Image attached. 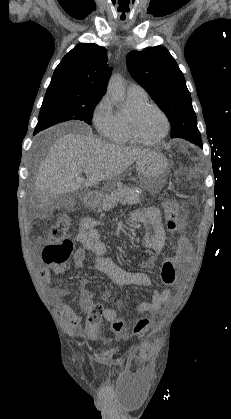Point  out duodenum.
I'll return each instance as SVG.
<instances>
[{
  "instance_id": "1",
  "label": "duodenum",
  "mask_w": 231,
  "mask_h": 419,
  "mask_svg": "<svg viewBox=\"0 0 231 419\" xmlns=\"http://www.w3.org/2000/svg\"><path fill=\"white\" fill-rule=\"evenodd\" d=\"M98 195L96 193H87L84 199L85 206L88 208L94 207L97 203Z\"/></svg>"
}]
</instances>
